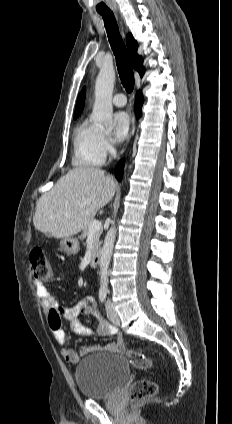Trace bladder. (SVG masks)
<instances>
[{
    "instance_id": "obj_1",
    "label": "bladder",
    "mask_w": 232,
    "mask_h": 424,
    "mask_svg": "<svg viewBox=\"0 0 232 424\" xmlns=\"http://www.w3.org/2000/svg\"><path fill=\"white\" fill-rule=\"evenodd\" d=\"M130 376V365L125 358L106 353L85 357L75 370L80 394L94 400L111 397Z\"/></svg>"
}]
</instances>
